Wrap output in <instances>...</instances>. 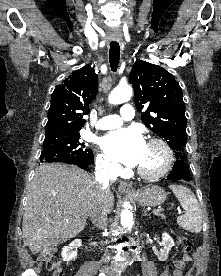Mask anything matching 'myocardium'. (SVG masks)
Here are the masks:
<instances>
[{"instance_id":"f54148a6","label":"myocardium","mask_w":221,"mask_h":276,"mask_svg":"<svg viewBox=\"0 0 221 276\" xmlns=\"http://www.w3.org/2000/svg\"><path fill=\"white\" fill-rule=\"evenodd\" d=\"M147 145L150 146H157L162 154H163V160L162 164L159 168L156 170H145L142 168L137 169V173L145 179H158L164 175H166L169 170L172 167L173 161H174V156H173V151L169 144L163 140L162 138L159 137H152L148 140Z\"/></svg>"}]
</instances>
